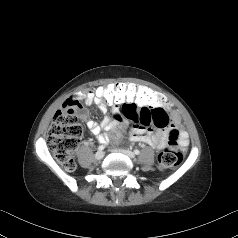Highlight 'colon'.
I'll return each mask as SVG.
<instances>
[{
	"instance_id": "5ec220e1",
	"label": "colon",
	"mask_w": 238,
	"mask_h": 238,
	"mask_svg": "<svg viewBox=\"0 0 238 238\" xmlns=\"http://www.w3.org/2000/svg\"><path fill=\"white\" fill-rule=\"evenodd\" d=\"M96 96L103 103L111 105L118 103L126 106L133 104L141 107L139 117H136L129 109L123 113L143 125L155 122L152 121L150 110L163 108L168 103V98L163 93H156L144 86L134 83H119L113 85L104 81L97 85ZM80 104L77 100L68 99L62 108L54 115L48 134V146L57 162L66 170L75 168L73 153L79 144L82 133L78 122V110ZM118 136V133H116ZM182 161V154L179 149V131L172 129L169 133L168 145L158 156V165L161 169H169L179 165Z\"/></svg>"
}]
</instances>
